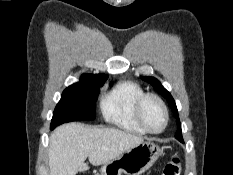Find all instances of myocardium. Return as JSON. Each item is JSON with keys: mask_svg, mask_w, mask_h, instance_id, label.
<instances>
[{"mask_svg": "<svg viewBox=\"0 0 233 175\" xmlns=\"http://www.w3.org/2000/svg\"><path fill=\"white\" fill-rule=\"evenodd\" d=\"M148 99H154L161 107L163 113H164V117H165V121L164 124L162 126L161 129L159 130H151L147 124L145 123L144 119H143V115H142V109H143V105L144 103L148 100ZM134 113H135V117L137 122L139 123V125L148 133L151 134H158L163 132L169 122V112H168V108L164 102V100L158 96L157 94L154 93H144L142 94L135 102V106H134Z\"/></svg>", "mask_w": 233, "mask_h": 175, "instance_id": "obj_1", "label": "myocardium"}]
</instances>
